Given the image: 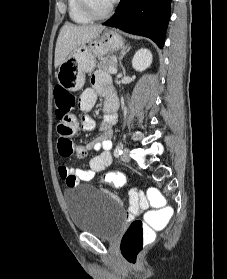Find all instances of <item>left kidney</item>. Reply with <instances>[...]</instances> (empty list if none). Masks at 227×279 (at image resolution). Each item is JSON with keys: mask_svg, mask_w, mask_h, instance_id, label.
<instances>
[{"mask_svg": "<svg viewBox=\"0 0 227 279\" xmlns=\"http://www.w3.org/2000/svg\"><path fill=\"white\" fill-rule=\"evenodd\" d=\"M152 63V54L148 49H139L133 59H132V66L136 71H144L148 67H150Z\"/></svg>", "mask_w": 227, "mask_h": 279, "instance_id": "obj_1", "label": "left kidney"}]
</instances>
